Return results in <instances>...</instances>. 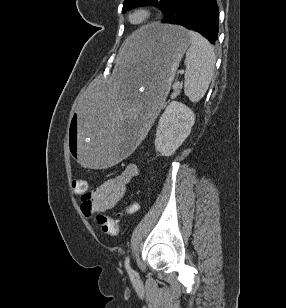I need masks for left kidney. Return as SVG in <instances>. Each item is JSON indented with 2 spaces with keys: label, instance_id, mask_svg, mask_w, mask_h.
Segmentation results:
<instances>
[{
  "label": "left kidney",
  "instance_id": "obj_1",
  "mask_svg": "<svg viewBox=\"0 0 286 308\" xmlns=\"http://www.w3.org/2000/svg\"><path fill=\"white\" fill-rule=\"evenodd\" d=\"M194 123L193 111L181 102L172 101L159 119L156 151L162 156H171L189 136Z\"/></svg>",
  "mask_w": 286,
  "mask_h": 308
}]
</instances>
